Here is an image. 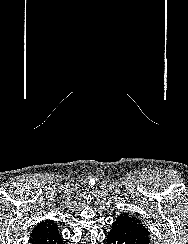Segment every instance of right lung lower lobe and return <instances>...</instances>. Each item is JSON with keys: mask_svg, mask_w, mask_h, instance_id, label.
Listing matches in <instances>:
<instances>
[{"mask_svg": "<svg viewBox=\"0 0 188 244\" xmlns=\"http://www.w3.org/2000/svg\"><path fill=\"white\" fill-rule=\"evenodd\" d=\"M30 244H63L57 225L45 228L39 233L32 235L29 239Z\"/></svg>", "mask_w": 188, "mask_h": 244, "instance_id": "98d812e1", "label": "right lung lower lobe"}]
</instances>
